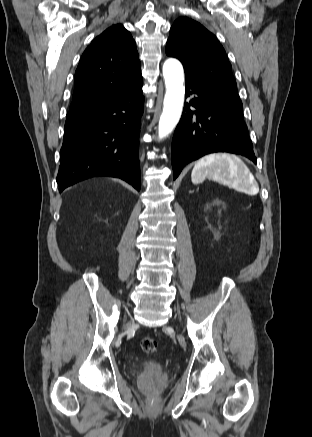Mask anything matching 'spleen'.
Here are the masks:
<instances>
[{"label":"spleen","instance_id":"1","mask_svg":"<svg viewBox=\"0 0 312 437\" xmlns=\"http://www.w3.org/2000/svg\"><path fill=\"white\" fill-rule=\"evenodd\" d=\"M209 177L215 181L230 184L247 194H256L259 186L246 164L237 156L217 153L199 159L191 173L194 184Z\"/></svg>","mask_w":312,"mask_h":437}]
</instances>
